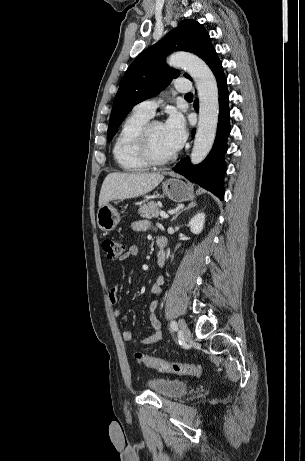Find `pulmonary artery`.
I'll return each mask as SVG.
<instances>
[{
	"label": "pulmonary artery",
	"mask_w": 305,
	"mask_h": 461,
	"mask_svg": "<svg viewBox=\"0 0 305 461\" xmlns=\"http://www.w3.org/2000/svg\"><path fill=\"white\" fill-rule=\"evenodd\" d=\"M175 89L180 93H186L190 91L191 87L188 84L187 79L177 78L175 82ZM159 103L160 100L156 98L144 100L135 106L134 111L151 118L154 116L155 110Z\"/></svg>",
	"instance_id": "1"
}]
</instances>
